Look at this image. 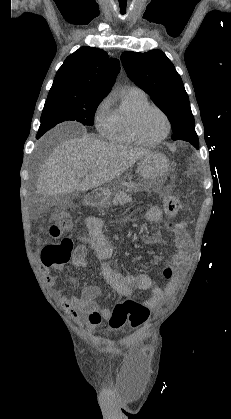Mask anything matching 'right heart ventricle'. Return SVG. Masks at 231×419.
Here are the masks:
<instances>
[{"mask_svg": "<svg viewBox=\"0 0 231 419\" xmlns=\"http://www.w3.org/2000/svg\"><path fill=\"white\" fill-rule=\"evenodd\" d=\"M149 104L146 94L132 88L125 92L121 105L113 111L114 124L109 139L117 144L141 143L132 130V118L134 113L142 106Z\"/></svg>", "mask_w": 231, "mask_h": 419, "instance_id": "1", "label": "right heart ventricle"}]
</instances>
